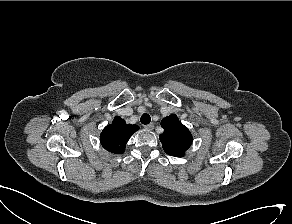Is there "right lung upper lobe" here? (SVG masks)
Wrapping results in <instances>:
<instances>
[{"label": "right lung upper lobe", "instance_id": "right-lung-upper-lobe-1", "mask_svg": "<svg viewBox=\"0 0 292 224\" xmlns=\"http://www.w3.org/2000/svg\"><path fill=\"white\" fill-rule=\"evenodd\" d=\"M139 130L137 125L126 124L125 120L116 116L111 125L106 126L100 135L104 149L113 154H121L133 133Z\"/></svg>", "mask_w": 292, "mask_h": 224}]
</instances>
